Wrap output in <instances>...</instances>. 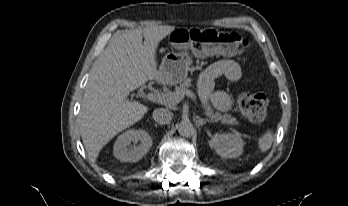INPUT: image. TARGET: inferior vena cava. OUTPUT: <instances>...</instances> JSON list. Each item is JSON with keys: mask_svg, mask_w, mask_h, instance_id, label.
<instances>
[{"mask_svg": "<svg viewBox=\"0 0 348 206\" xmlns=\"http://www.w3.org/2000/svg\"><path fill=\"white\" fill-rule=\"evenodd\" d=\"M173 118V113L169 109L157 108L153 111V119L158 124H168Z\"/></svg>", "mask_w": 348, "mask_h": 206, "instance_id": "inferior-vena-cava-1", "label": "inferior vena cava"}]
</instances>
